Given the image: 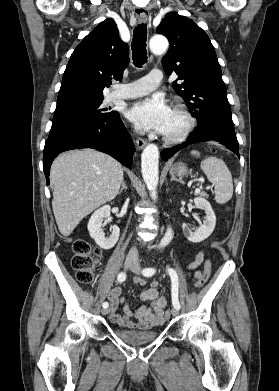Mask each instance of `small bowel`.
Returning <instances> with one entry per match:
<instances>
[{
  "instance_id": "small-bowel-1",
  "label": "small bowel",
  "mask_w": 279,
  "mask_h": 391,
  "mask_svg": "<svg viewBox=\"0 0 279 391\" xmlns=\"http://www.w3.org/2000/svg\"><path fill=\"white\" fill-rule=\"evenodd\" d=\"M204 261V252L200 251L193 262L189 264L190 269H196ZM195 279L201 276V272H195ZM135 283L139 286L145 285V280L137 278ZM121 288H113L108 295L110 302V320L121 328L147 330L157 327L163 323L164 308L167 300L164 296L159 295L157 284L152 283L151 287L143 291L141 297L143 300L150 302V306H141L137 310H132L128 303L124 302L121 297ZM123 304V313L117 312L118 306ZM136 320L135 321H133Z\"/></svg>"
}]
</instances>
